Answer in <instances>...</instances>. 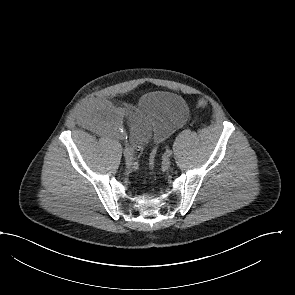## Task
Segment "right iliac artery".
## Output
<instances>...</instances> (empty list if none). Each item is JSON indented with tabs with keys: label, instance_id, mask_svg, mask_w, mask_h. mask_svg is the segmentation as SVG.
Returning <instances> with one entry per match:
<instances>
[{
	"label": "right iliac artery",
	"instance_id": "right-iliac-artery-1",
	"mask_svg": "<svg viewBox=\"0 0 295 295\" xmlns=\"http://www.w3.org/2000/svg\"><path fill=\"white\" fill-rule=\"evenodd\" d=\"M125 151L133 154V149L128 144H126V146H125Z\"/></svg>",
	"mask_w": 295,
	"mask_h": 295
}]
</instances>
